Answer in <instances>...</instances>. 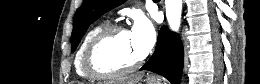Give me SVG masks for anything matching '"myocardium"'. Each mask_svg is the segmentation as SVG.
I'll list each match as a JSON object with an SVG mask.
<instances>
[{
    "mask_svg": "<svg viewBox=\"0 0 260 84\" xmlns=\"http://www.w3.org/2000/svg\"><path fill=\"white\" fill-rule=\"evenodd\" d=\"M121 32H127V30L120 25H109L93 37L84 58V70L87 75L93 79L117 78L129 74L141 66L144 57H140L134 64L124 68H105L98 63V55L104 43Z\"/></svg>",
    "mask_w": 260,
    "mask_h": 84,
    "instance_id": "1",
    "label": "myocardium"
}]
</instances>
